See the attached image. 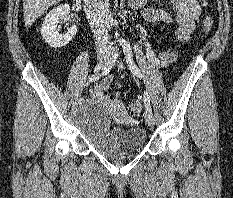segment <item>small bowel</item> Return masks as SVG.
<instances>
[{
	"label": "small bowel",
	"instance_id": "c3829d8e",
	"mask_svg": "<svg viewBox=\"0 0 233 198\" xmlns=\"http://www.w3.org/2000/svg\"><path fill=\"white\" fill-rule=\"evenodd\" d=\"M171 4L176 9V15L173 17L163 10L145 9L143 16L150 22H165L176 23L175 38L179 42H185L196 27V22L200 15V8L196 0H170ZM143 45L150 50V45L142 37ZM176 54L174 51L162 52L158 55H153L152 60L161 66H166L175 60ZM112 77L108 76L101 81L100 84L94 86L91 90L93 99L101 103H108L118 116L124 115V107L116 99H110L107 92Z\"/></svg>",
	"mask_w": 233,
	"mask_h": 198
}]
</instances>
